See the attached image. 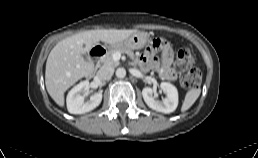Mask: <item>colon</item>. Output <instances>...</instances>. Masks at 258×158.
<instances>
[{"mask_svg":"<svg viewBox=\"0 0 258 158\" xmlns=\"http://www.w3.org/2000/svg\"><path fill=\"white\" fill-rule=\"evenodd\" d=\"M160 39L152 41V45L159 47ZM177 68L182 71L180 84L186 89L198 87L201 80L200 69L196 66V59L188 49H182L178 52L176 60Z\"/></svg>","mask_w":258,"mask_h":158,"instance_id":"1","label":"colon"}]
</instances>
